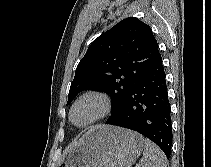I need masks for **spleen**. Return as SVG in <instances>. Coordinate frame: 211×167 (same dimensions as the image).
I'll list each match as a JSON object with an SVG mask.
<instances>
[{"label": "spleen", "mask_w": 211, "mask_h": 167, "mask_svg": "<svg viewBox=\"0 0 211 167\" xmlns=\"http://www.w3.org/2000/svg\"><path fill=\"white\" fill-rule=\"evenodd\" d=\"M141 167H167L164 153L157 145L148 139L144 140Z\"/></svg>", "instance_id": "1"}]
</instances>
